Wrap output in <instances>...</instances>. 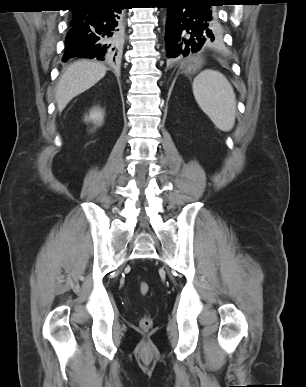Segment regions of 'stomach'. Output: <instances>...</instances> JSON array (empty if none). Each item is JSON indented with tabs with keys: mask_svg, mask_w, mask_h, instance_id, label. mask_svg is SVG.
<instances>
[{
	"mask_svg": "<svg viewBox=\"0 0 306 387\" xmlns=\"http://www.w3.org/2000/svg\"><path fill=\"white\" fill-rule=\"evenodd\" d=\"M195 66H196V65H191V66H189L188 69L186 70V73H187V74L191 73V72L194 70Z\"/></svg>",
	"mask_w": 306,
	"mask_h": 387,
	"instance_id": "obj_1",
	"label": "stomach"
}]
</instances>
